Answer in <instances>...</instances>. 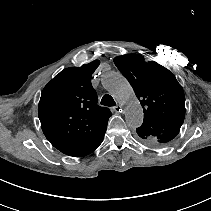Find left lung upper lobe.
<instances>
[{
    "mask_svg": "<svg viewBox=\"0 0 211 211\" xmlns=\"http://www.w3.org/2000/svg\"><path fill=\"white\" fill-rule=\"evenodd\" d=\"M115 65L130 82L144 112L136 129L141 141L160 148L174 139L185 118V95L174 74L138 54L118 56Z\"/></svg>",
    "mask_w": 211,
    "mask_h": 211,
    "instance_id": "1",
    "label": "left lung upper lobe"
}]
</instances>
